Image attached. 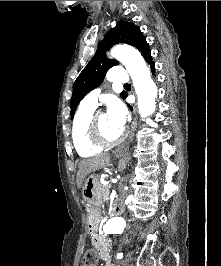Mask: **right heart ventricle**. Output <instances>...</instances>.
Listing matches in <instances>:
<instances>
[{
    "label": "right heart ventricle",
    "mask_w": 221,
    "mask_h": 266,
    "mask_svg": "<svg viewBox=\"0 0 221 266\" xmlns=\"http://www.w3.org/2000/svg\"><path fill=\"white\" fill-rule=\"evenodd\" d=\"M94 108L80 105L72 125V140L77 153L81 157H93L102 151V147L93 144L89 138V122Z\"/></svg>",
    "instance_id": "right-heart-ventricle-1"
}]
</instances>
